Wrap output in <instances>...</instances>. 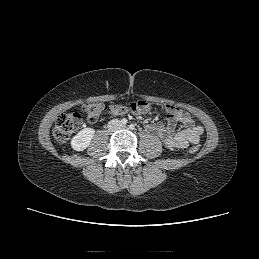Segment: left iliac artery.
<instances>
[{
  "label": "left iliac artery",
  "mask_w": 259,
  "mask_h": 259,
  "mask_svg": "<svg viewBox=\"0 0 259 259\" xmlns=\"http://www.w3.org/2000/svg\"><path fill=\"white\" fill-rule=\"evenodd\" d=\"M129 128H130L131 130L135 129L134 124H130V125H129Z\"/></svg>",
  "instance_id": "44dca946"
}]
</instances>
